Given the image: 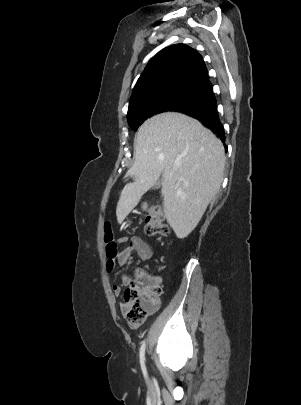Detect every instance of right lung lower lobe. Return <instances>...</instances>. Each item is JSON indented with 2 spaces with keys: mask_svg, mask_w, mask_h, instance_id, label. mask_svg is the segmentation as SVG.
I'll list each match as a JSON object with an SVG mask.
<instances>
[{
  "mask_svg": "<svg viewBox=\"0 0 301 405\" xmlns=\"http://www.w3.org/2000/svg\"><path fill=\"white\" fill-rule=\"evenodd\" d=\"M178 112L199 120L205 127L215 133L223 142L225 141L224 128L219 119L215 98L211 103L197 107L184 108ZM225 148H227V146H225Z\"/></svg>",
  "mask_w": 301,
  "mask_h": 405,
  "instance_id": "right-lung-lower-lobe-1",
  "label": "right lung lower lobe"
}]
</instances>
